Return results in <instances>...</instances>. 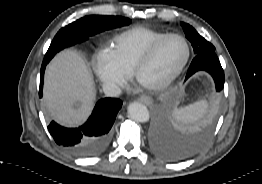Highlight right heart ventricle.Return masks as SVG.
<instances>
[{
  "instance_id": "1",
  "label": "right heart ventricle",
  "mask_w": 262,
  "mask_h": 184,
  "mask_svg": "<svg viewBox=\"0 0 262 184\" xmlns=\"http://www.w3.org/2000/svg\"><path fill=\"white\" fill-rule=\"evenodd\" d=\"M164 32L144 27H134L118 34L111 42V54L129 74L148 47Z\"/></svg>"
}]
</instances>
